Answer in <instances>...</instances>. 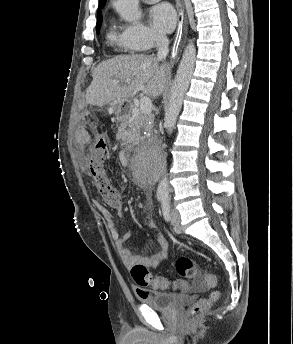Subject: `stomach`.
Returning <instances> with one entry per match:
<instances>
[{
  "instance_id": "obj_1",
  "label": "stomach",
  "mask_w": 293,
  "mask_h": 344,
  "mask_svg": "<svg viewBox=\"0 0 293 344\" xmlns=\"http://www.w3.org/2000/svg\"><path fill=\"white\" fill-rule=\"evenodd\" d=\"M123 105H124L123 100L113 101L110 103L109 108L112 112L119 113L121 111Z\"/></svg>"
}]
</instances>
